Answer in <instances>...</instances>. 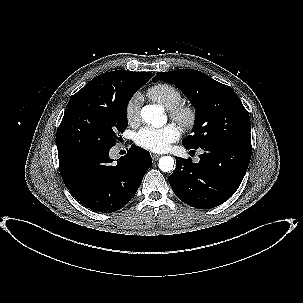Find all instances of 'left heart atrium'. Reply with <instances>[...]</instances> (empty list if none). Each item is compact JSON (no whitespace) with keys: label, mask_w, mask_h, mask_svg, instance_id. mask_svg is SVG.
I'll use <instances>...</instances> for the list:
<instances>
[{"label":"left heart atrium","mask_w":303,"mask_h":303,"mask_svg":"<svg viewBox=\"0 0 303 303\" xmlns=\"http://www.w3.org/2000/svg\"><path fill=\"white\" fill-rule=\"evenodd\" d=\"M180 137L178 128L167 124L160 128L143 127L135 135V143L151 152H165Z\"/></svg>","instance_id":"left-heart-atrium-1"}]
</instances>
